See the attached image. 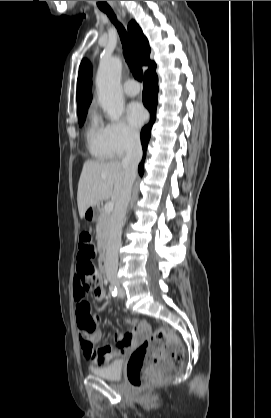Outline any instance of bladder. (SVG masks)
I'll return each mask as SVG.
<instances>
[{"label": "bladder", "instance_id": "1", "mask_svg": "<svg viewBox=\"0 0 271 418\" xmlns=\"http://www.w3.org/2000/svg\"><path fill=\"white\" fill-rule=\"evenodd\" d=\"M123 363L120 360H114L102 367L92 368L93 375L109 381H117L121 378Z\"/></svg>", "mask_w": 271, "mask_h": 418}]
</instances>
